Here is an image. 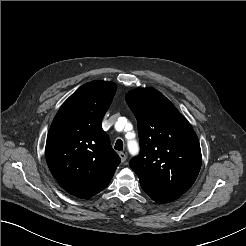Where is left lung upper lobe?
<instances>
[{
	"label": "left lung upper lobe",
	"mask_w": 246,
	"mask_h": 246,
	"mask_svg": "<svg viewBox=\"0 0 246 246\" xmlns=\"http://www.w3.org/2000/svg\"><path fill=\"white\" fill-rule=\"evenodd\" d=\"M138 122L140 154L129 165L140 182L184 194L201 167L196 133L176 107L153 88H138L126 95Z\"/></svg>",
	"instance_id": "left-lung-upper-lobe-1"
}]
</instances>
